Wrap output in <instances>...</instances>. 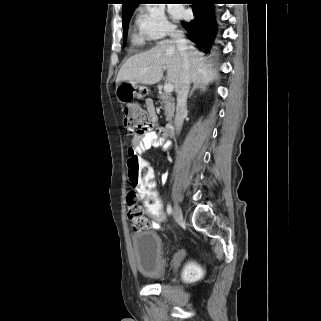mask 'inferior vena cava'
<instances>
[{"label": "inferior vena cava", "mask_w": 321, "mask_h": 321, "mask_svg": "<svg viewBox=\"0 0 321 321\" xmlns=\"http://www.w3.org/2000/svg\"><path fill=\"white\" fill-rule=\"evenodd\" d=\"M169 35L175 39L177 49L182 60V71L177 88V106L174 119L176 134H179L183 125V121L187 112V97L190 89L191 74L189 69V59L187 53V42L184 39L182 31L171 30Z\"/></svg>", "instance_id": "1"}]
</instances>
